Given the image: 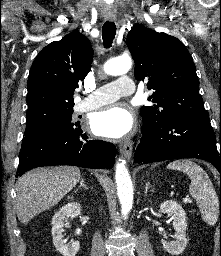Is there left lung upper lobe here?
<instances>
[{
	"mask_svg": "<svg viewBox=\"0 0 221 256\" xmlns=\"http://www.w3.org/2000/svg\"><path fill=\"white\" fill-rule=\"evenodd\" d=\"M127 46L135 61V78L153 89L142 106L144 123L163 124L176 116H204L203 100L193 59L182 42L166 33L134 26L127 35Z\"/></svg>",
	"mask_w": 221,
	"mask_h": 256,
	"instance_id": "obj_1",
	"label": "left lung upper lobe"
}]
</instances>
